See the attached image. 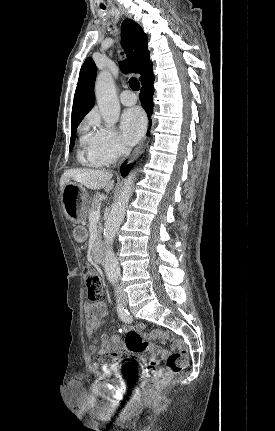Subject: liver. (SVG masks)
Returning a JSON list of instances; mask_svg holds the SVG:
<instances>
[{"instance_id":"1","label":"liver","mask_w":275,"mask_h":431,"mask_svg":"<svg viewBox=\"0 0 275 431\" xmlns=\"http://www.w3.org/2000/svg\"><path fill=\"white\" fill-rule=\"evenodd\" d=\"M71 180L84 185L88 189L100 190L105 189L109 192L114 187V180L112 174L108 171L92 170V169H70L63 173L60 179V189L63 190L64 186Z\"/></svg>"}]
</instances>
